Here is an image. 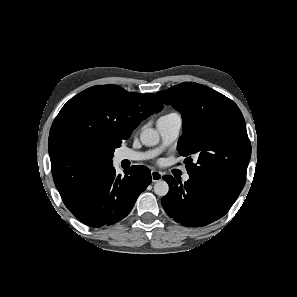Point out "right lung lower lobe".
<instances>
[{
  "instance_id": "obj_1",
  "label": "right lung lower lobe",
  "mask_w": 297,
  "mask_h": 297,
  "mask_svg": "<svg viewBox=\"0 0 297 297\" xmlns=\"http://www.w3.org/2000/svg\"><path fill=\"white\" fill-rule=\"evenodd\" d=\"M116 175L115 168L88 182L66 207L84 224L91 227L112 225L128 215L138 196L151 183L150 170L141 165Z\"/></svg>"
}]
</instances>
